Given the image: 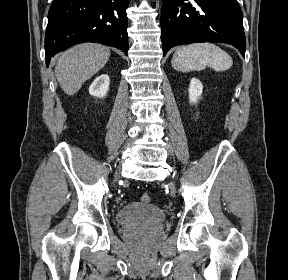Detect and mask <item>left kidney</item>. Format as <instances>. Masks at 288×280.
<instances>
[{"mask_svg":"<svg viewBox=\"0 0 288 280\" xmlns=\"http://www.w3.org/2000/svg\"><path fill=\"white\" fill-rule=\"evenodd\" d=\"M203 90V85L200 80L192 78L189 85V102L197 103L200 99Z\"/></svg>","mask_w":288,"mask_h":280,"instance_id":"left-kidney-1","label":"left kidney"}]
</instances>
